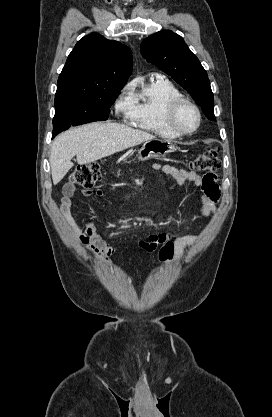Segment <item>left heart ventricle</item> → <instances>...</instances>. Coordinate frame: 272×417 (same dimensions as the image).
<instances>
[{"instance_id": "b2bd125f", "label": "left heart ventricle", "mask_w": 272, "mask_h": 417, "mask_svg": "<svg viewBox=\"0 0 272 417\" xmlns=\"http://www.w3.org/2000/svg\"><path fill=\"white\" fill-rule=\"evenodd\" d=\"M176 122L182 130L190 131L194 129L197 124L196 112L190 106H183L177 114Z\"/></svg>"}]
</instances>
